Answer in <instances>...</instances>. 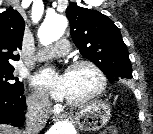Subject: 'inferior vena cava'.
I'll use <instances>...</instances> for the list:
<instances>
[{
    "label": "inferior vena cava",
    "mask_w": 153,
    "mask_h": 134,
    "mask_svg": "<svg viewBox=\"0 0 153 134\" xmlns=\"http://www.w3.org/2000/svg\"><path fill=\"white\" fill-rule=\"evenodd\" d=\"M50 103L47 98L37 97L27 102L26 130L24 134H38L49 118Z\"/></svg>",
    "instance_id": "obj_1"
}]
</instances>
